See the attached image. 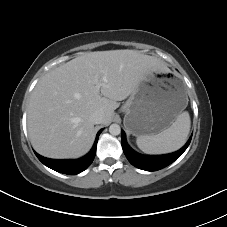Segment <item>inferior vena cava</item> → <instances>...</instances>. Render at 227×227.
Instances as JSON below:
<instances>
[{
    "mask_svg": "<svg viewBox=\"0 0 227 227\" xmlns=\"http://www.w3.org/2000/svg\"><path fill=\"white\" fill-rule=\"evenodd\" d=\"M90 121L93 124H101L103 121V113L100 111H95L94 113H92V115L90 116Z\"/></svg>",
    "mask_w": 227,
    "mask_h": 227,
    "instance_id": "1",
    "label": "inferior vena cava"
}]
</instances>
